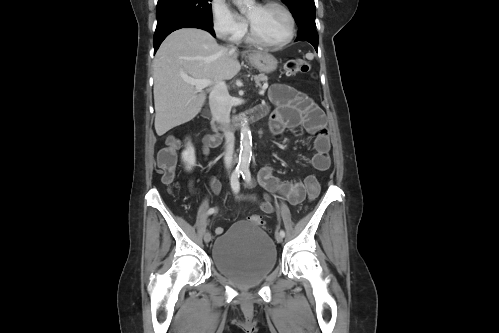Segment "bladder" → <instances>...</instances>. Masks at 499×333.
I'll return each instance as SVG.
<instances>
[{
  "label": "bladder",
  "mask_w": 499,
  "mask_h": 333,
  "mask_svg": "<svg viewBox=\"0 0 499 333\" xmlns=\"http://www.w3.org/2000/svg\"><path fill=\"white\" fill-rule=\"evenodd\" d=\"M212 262L223 275L242 285L265 279L277 265L272 238L259 225L237 221L212 248Z\"/></svg>",
  "instance_id": "obj_1"
}]
</instances>
